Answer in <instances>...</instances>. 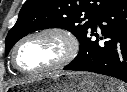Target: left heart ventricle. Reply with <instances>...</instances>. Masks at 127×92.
I'll list each match as a JSON object with an SVG mask.
<instances>
[{
    "label": "left heart ventricle",
    "instance_id": "b2bd125f",
    "mask_svg": "<svg viewBox=\"0 0 127 92\" xmlns=\"http://www.w3.org/2000/svg\"><path fill=\"white\" fill-rule=\"evenodd\" d=\"M66 51L65 42L54 35H42L24 42L18 51V64L36 70L55 64Z\"/></svg>",
    "mask_w": 127,
    "mask_h": 92
}]
</instances>
